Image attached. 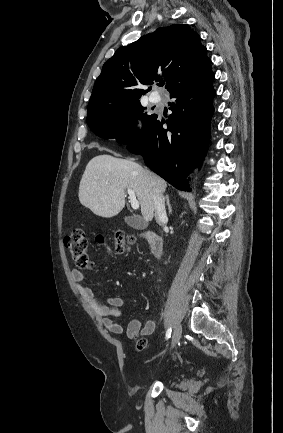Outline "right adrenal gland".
I'll list each match as a JSON object with an SVG mask.
<instances>
[{
  "instance_id": "obj_1",
  "label": "right adrenal gland",
  "mask_w": 283,
  "mask_h": 433,
  "mask_svg": "<svg viewBox=\"0 0 283 433\" xmlns=\"http://www.w3.org/2000/svg\"><path fill=\"white\" fill-rule=\"evenodd\" d=\"M166 202H167V206H168L169 214H172V206H171V204H170L169 194H166Z\"/></svg>"
}]
</instances>
